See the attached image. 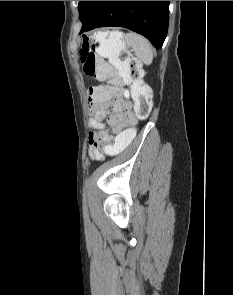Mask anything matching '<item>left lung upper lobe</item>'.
I'll use <instances>...</instances> for the list:
<instances>
[{
    "mask_svg": "<svg viewBox=\"0 0 233 295\" xmlns=\"http://www.w3.org/2000/svg\"><path fill=\"white\" fill-rule=\"evenodd\" d=\"M96 2L97 1H79V19L81 20L82 24H84L89 18Z\"/></svg>",
    "mask_w": 233,
    "mask_h": 295,
    "instance_id": "1",
    "label": "left lung upper lobe"
}]
</instances>
